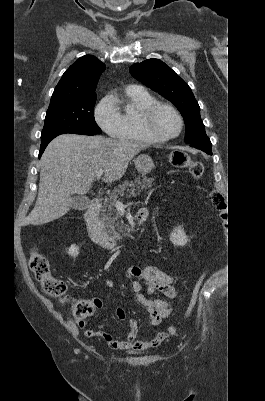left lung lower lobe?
<instances>
[{
  "label": "left lung lower lobe",
  "mask_w": 265,
  "mask_h": 401,
  "mask_svg": "<svg viewBox=\"0 0 265 401\" xmlns=\"http://www.w3.org/2000/svg\"><path fill=\"white\" fill-rule=\"evenodd\" d=\"M190 145L192 147H195L197 149H200V150L206 152L207 154H210V155L212 154V151H211L212 144L208 137L198 140V141H195V142H192V143H190Z\"/></svg>",
  "instance_id": "1"
}]
</instances>
